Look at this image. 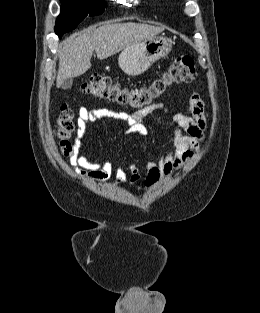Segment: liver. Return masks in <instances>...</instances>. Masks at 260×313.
I'll return each instance as SVG.
<instances>
[{"label":"liver","mask_w":260,"mask_h":313,"mask_svg":"<svg viewBox=\"0 0 260 313\" xmlns=\"http://www.w3.org/2000/svg\"><path fill=\"white\" fill-rule=\"evenodd\" d=\"M164 30L147 24L127 22L104 24L97 29L89 27L77 36L64 41L60 51L56 86L59 88L67 78L78 77L91 67V57L106 59L126 47L155 37Z\"/></svg>","instance_id":"obj_1"}]
</instances>
